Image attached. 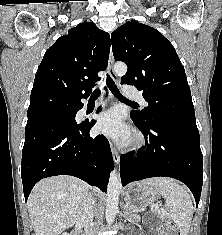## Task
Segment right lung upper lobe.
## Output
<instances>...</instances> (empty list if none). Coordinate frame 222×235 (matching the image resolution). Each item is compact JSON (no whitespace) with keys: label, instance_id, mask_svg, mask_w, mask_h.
I'll return each mask as SVG.
<instances>
[{"label":"right lung upper lobe","instance_id":"right-lung-upper-lobe-1","mask_svg":"<svg viewBox=\"0 0 222 235\" xmlns=\"http://www.w3.org/2000/svg\"><path fill=\"white\" fill-rule=\"evenodd\" d=\"M110 37L93 22H83L61 36L46 51L35 75L28 120L50 116L89 96L105 70Z\"/></svg>","mask_w":222,"mask_h":235}]
</instances>
